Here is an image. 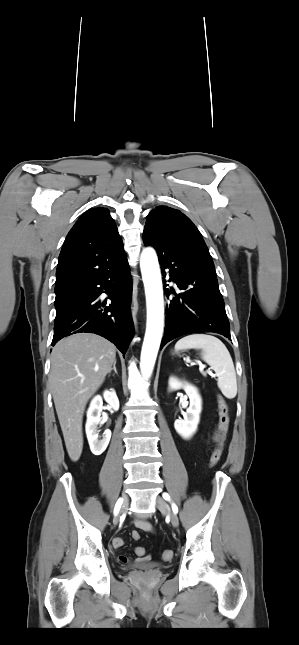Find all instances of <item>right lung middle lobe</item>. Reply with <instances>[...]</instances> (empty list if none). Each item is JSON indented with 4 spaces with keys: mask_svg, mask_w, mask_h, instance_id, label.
<instances>
[{
    "mask_svg": "<svg viewBox=\"0 0 299 645\" xmlns=\"http://www.w3.org/2000/svg\"><path fill=\"white\" fill-rule=\"evenodd\" d=\"M77 288L78 286L55 291L56 310L63 307L71 298H73L77 294Z\"/></svg>",
    "mask_w": 299,
    "mask_h": 645,
    "instance_id": "1",
    "label": "right lung middle lobe"
}]
</instances>
